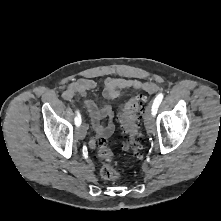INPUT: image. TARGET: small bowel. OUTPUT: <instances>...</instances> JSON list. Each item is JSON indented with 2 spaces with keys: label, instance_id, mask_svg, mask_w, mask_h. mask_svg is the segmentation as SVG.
<instances>
[{
  "label": "small bowel",
  "instance_id": "small-bowel-1",
  "mask_svg": "<svg viewBox=\"0 0 221 221\" xmlns=\"http://www.w3.org/2000/svg\"><path fill=\"white\" fill-rule=\"evenodd\" d=\"M96 86L97 83L93 79H78L67 86L62 97L66 100H71L76 96L86 97ZM125 89H142L153 92L156 90V86L153 83H145L133 78H107L104 81L103 89V95L106 99L105 103L98 107L91 99H86L84 102L95 132V135L89 140L91 148H96L99 141H104L113 134V110L110 101H119L121 99V92ZM102 120H106V122H102Z\"/></svg>",
  "mask_w": 221,
  "mask_h": 221
}]
</instances>
